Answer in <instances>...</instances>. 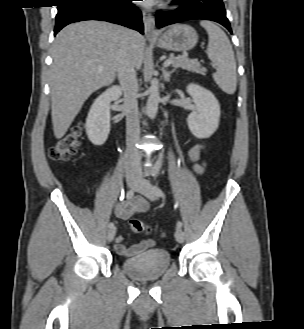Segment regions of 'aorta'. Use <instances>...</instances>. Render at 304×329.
Returning <instances> with one entry per match:
<instances>
[{
  "mask_svg": "<svg viewBox=\"0 0 304 329\" xmlns=\"http://www.w3.org/2000/svg\"><path fill=\"white\" fill-rule=\"evenodd\" d=\"M149 97L146 104V114L149 118L154 119L158 112V104L160 102L159 84L156 78L150 81ZM163 155L160 154L156 162V168H160L162 164Z\"/></svg>",
  "mask_w": 304,
  "mask_h": 329,
  "instance_id": "obj_1",
  "label": "aorta"
}]
</instances>
